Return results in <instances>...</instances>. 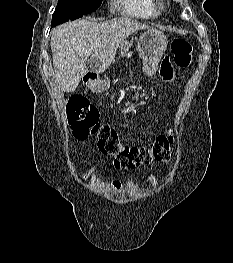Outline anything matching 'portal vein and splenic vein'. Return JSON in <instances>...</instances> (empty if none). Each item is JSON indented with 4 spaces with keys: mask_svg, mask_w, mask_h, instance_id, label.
Wrapping results in <instances>:
<instances>
[{
    "mask_svg": "<svg viewBox=\"0 0 233 263\" xmlns=\"http://www.w3.org/2000/svg\"><path fill=\"white\" fill-rule=\"evenodd\" d=\"M93 48H94L93 46H92V47H90V48H89V50L87 51V53H91V52H92V50H93Z\"/></svg>",
    "mask_w": 233,
    "mask_h": 263,
    "instance_id": "obj_1",
    "label": "portal vein and splenic vein"
}]
</instances>
